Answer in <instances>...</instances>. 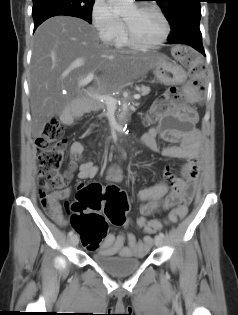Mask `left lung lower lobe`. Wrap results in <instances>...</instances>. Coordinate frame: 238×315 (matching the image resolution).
<instances>
[{
    "label": "left lung lower lobe",
    "mask_w": 238,
    "mask_h": 315,
    "mask_svg": "<svg viewBox=\"0 0 238 315\" xmlns=\"http://www.w3.org/2000/svg\"><path fill=\"white\" fill-rule=\"evenodd\" d=\"M169 44H187L205 55L199 24H190L177 34L168 37Z\"/></svg>",
    "instance_id": "left-lung-lower-lobe-1"
}]
</instances>
